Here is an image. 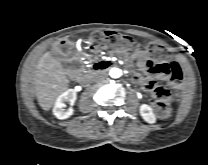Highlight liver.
Here are the masks:
<instances>
[{
    "mask_svg": "<svg viewBox=\"0 0 208 165\" xmlns=\"http://www.w3.org/2000/svg\"><path fill=\"white\" fill-rule=\"evenodd\" d=\"M68 85L69 80L60 61L50 52L44 53L34 71V87L40 107L49 111Z\"/></svg>",
    "mask_w": 208,
    "mask_h": 165,
    "instance_id": "6515ba94",
    "label": "liver"
}]
</instances>
